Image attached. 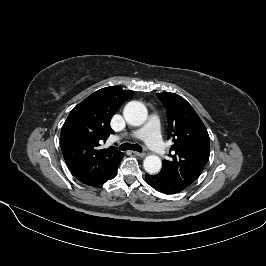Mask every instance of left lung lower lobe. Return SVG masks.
<instances>
[{"label": "left lung lower lobe", "mask_w": 266, "mask_h": 266, "mask_svg": "<svg viewBox=\"0 0 266 266\" xmlns=\"http://www.w3.org/2000/svg\"><path fill=\"white\" fill-rule=\"evenodd\" d=\"M146 182L155 190L165 194H176L183 191L186 187L181 186L174 181L168 179L162 174L145 175Z\"/></svg>", "instance_id": "obj_1"}]
</instances>
